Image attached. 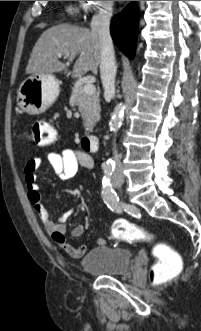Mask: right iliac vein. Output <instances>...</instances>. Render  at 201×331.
Returning <instances> with one entry per match:
<instances>
[{
	"mask_svg": "<svg viewBox=\"0 0 201 331\" xmlns=\"http://www.w3.org/2000/svg\"><path fill=\"white\" fill-rule=\"evenodd\" d=\"M113 185H114V187H116V188H118V189H121V187H122V182L119 181V180H115V181L113 182Z\"/></svg>",
	"mask_w": 201,
	"mask_h": 331,
	"instance_id": "1",
	"label": "right iliac vein"
}]
</instances>
